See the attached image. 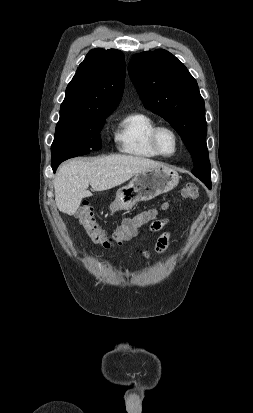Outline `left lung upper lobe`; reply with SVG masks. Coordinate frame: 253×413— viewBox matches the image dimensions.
<instances>
[{"label": "left lung upper lobe", "mask_w": 253, "mask_h": 413, "mask_svg": "<svg viewBox=\"0 0 253 413\" xmlns=\"http://www.w3.org/2000/svg\"><path fill=\"white\" fill-rule=\"evenodd\" d=\"M128 72L144 106L168 121L181 136L192 155V173L201 181H211L205 104L184 64L158 49L134 55Z\"/></svg>", "instance_id": "1"}]
</instances>
